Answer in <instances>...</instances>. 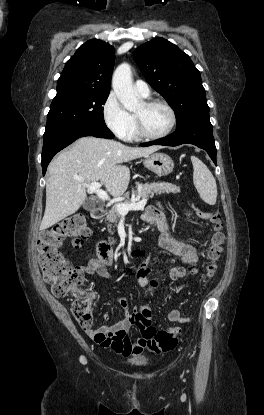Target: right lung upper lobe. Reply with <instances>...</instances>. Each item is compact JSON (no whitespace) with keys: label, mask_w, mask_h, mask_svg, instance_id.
<instances>
[{"label":"right lung upper lobe","mask_w":264,"mask_h":415,"mask_svg":"<svg viewBox=\"0 0 264 415\" xmlns=\"http://www.w3.org/2000/svg\"><path fill=\"white\" fill-rule=\"evenodd\" d=\"M114 48L92 39L66 62L57 83V95L65 93H109L114 66Z\"/></svg>","instance_id":"right-lung-upper-lobe-1"}]
</instances>
